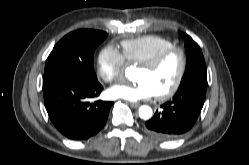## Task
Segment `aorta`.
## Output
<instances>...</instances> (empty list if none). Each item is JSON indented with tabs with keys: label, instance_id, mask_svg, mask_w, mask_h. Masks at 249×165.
I'll list each match as a JSON object with an SVG mask.
<instances>
[{
	"label": "aorta",
	"instance_id": "762f6f07",
	"mask_svg": "<svg viewBox=\"0 0 249 165\" xmlns=\"http://www.w3.org/2000/svg\"><path fill=\"white\" fill-rule=\"evenodd\" d=\"M128 74V70L126 71ZM139 117L144 120H148L152 117V109L149 106L143 105L139 108Z\"/></svg>",
	"mask_w": 249,
	"mask_h": 165
}]
</instances>
